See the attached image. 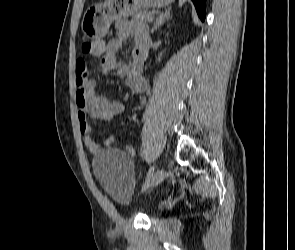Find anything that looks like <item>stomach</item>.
<instances>
[{"instance_id": "1", "label": "stomach", "mask_w": 295, "mask_h": 250, "mask_svg": "<svg viewBox=\"0 0 295 250\" xmlns=\"http://www.w3.org/2000/svg\"><path fill=\"white\" fill-rule=\"evenodd\" d=\"M174 0H105L84 13L81 29L90 39L104 37L113 21L137 13L141 8H160Z\"/></svg>"}]
</instances>
